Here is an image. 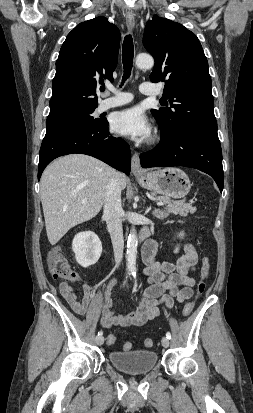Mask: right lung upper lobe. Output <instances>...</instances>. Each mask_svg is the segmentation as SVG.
<instances>
[{
    "label": "right lung upper lobe",
    "mask_w": 253,
    "mask_h": 413,
    "mask_svg": "<svg viewBox=\"0 0 253 413\" xmlns=\"http://www.w3.org/2000/svg\"><path fill=\"white\" fill-rule=\"evenodd\" d=\"M119 45V29L105 17L77 25L56 61L48 116L97 107L99 86L105 80L113 81Z\"/></svg>",
    "instance_id": "right-lung-upper-lobe-1"
}]
</instances>
